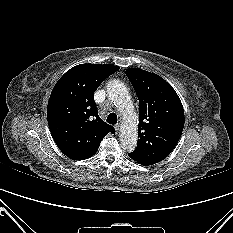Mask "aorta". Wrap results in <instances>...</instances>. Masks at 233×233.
<instances>
[{
    "label": "aorta",
    "instance_id": "obj_1",
    "mask_svg": "<svg viewBox=\"0 0 233 233\" xmlns=\"http://www.w3.org/2000/svg\"><path fill=\"white\" fill-rule=\"evenodd\" d=\"M107 94L123 115V126L120 134L121 146L124 150L132 152L137 146L138 116L127 87L120 80H111L107 83Z\"/></svg>",
    "mask_w": 233,
    "mask_h": 233
}]
</instances>
